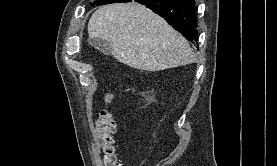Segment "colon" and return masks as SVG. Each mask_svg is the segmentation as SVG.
I'll return each instance as SVG.
<instances>
[{
    "instance_id": "colon-1",
    "label": "colon",
    "mask_w": 277,
    "mask_h": 166,
    "mask_svg": "<svg viewBox=\"0 0 277 166\" xmlns=\"http://www.w3.org/2000/svg\"><path fill=\"white\" fill-rule=\"evenodd\" d=\"M113 96L111 93L106 95V102H111ZM96 129L99 134L100 145L104 154L106 166H115V148L114 138L115 120L112 113L108 109H104L97 120Z\"/></svg>"
}]
</instances>
